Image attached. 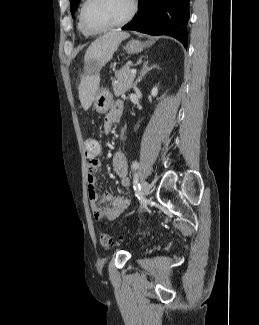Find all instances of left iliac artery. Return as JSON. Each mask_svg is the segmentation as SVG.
I'll list each match as a JSON object with an SVG mask.
<instances>
[{"label": "left iliac artery", "mask_w": 259, "mask_h": 325, "mask_svg": "<svg viewBox=\"0 0 259 325\" xmlns=\"http://www.w3.org/2000/svg\"><path fill=\"white\" fill-rule=\"evenodd\" d=\"M131 167H132V169H134V168H138V167H139V163H138L137 161H134V162L132 163ZM139 188H140V186H139ZM134 189H135V187H134Z\"/></svg>", "instance_id": "44dca946"}]
</instances>
